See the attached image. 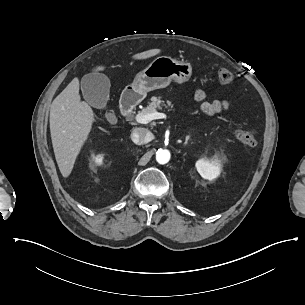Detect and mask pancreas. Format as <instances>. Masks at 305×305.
<instances>
[{
  "label": "pancreas",
  "mask_w": 305,
  "mask_h": 305,
  "mask_svg": "<svg viewBox=\"0 0 305 305\" xmlns=\"http://www.w3.org/2000/svg\"><path fill=\"white\" fill-rule=\"evenodd\" d=\"M175 103H172V101L166 99L162 100L161 96H155L151 98V103L150 105L144 110L146 112H154L156 109L162 110L163 107L169 108V110H172L173 112L176 111L175 108L171 109V107H174Z\"/></svg>",
  "instance_id": "cf45deb5"
}]
</instances>
